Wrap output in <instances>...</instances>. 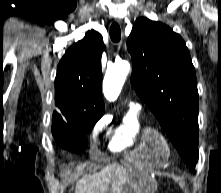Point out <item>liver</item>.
I'll return each instance as SVG.
<instances>
[{
    "instance_id": "liver-1",
    "label": "liver",
    "mask_w": 221,
    "mask_h": 193,
    "mask_svg": "<svg viewBox=\"0 0 221 193\" xmlns=\"http://www.w3.org/2000/svg\"><path fill=\"white\" fill-rule=\"evenodd\" d=\"M126 180V169L118 164H108L100 172L84 174L77 180L75 193H121Z\"/></svg>"
}]
</instances>
